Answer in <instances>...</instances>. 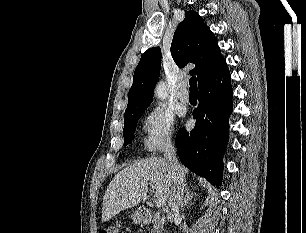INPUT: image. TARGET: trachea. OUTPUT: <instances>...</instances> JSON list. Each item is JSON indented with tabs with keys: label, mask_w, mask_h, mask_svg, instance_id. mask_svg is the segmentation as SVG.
<instances>
[{
	"label": "trachea",
	"mask_w": 306,
	"mask_h": 233,
	"mask_svg": "<svg viewBox=\"0 0 306 233\" xmlns=\"http://www.w3.org/2000/svg\"><path fill=\"white\" fill-rule=\"evenodd\" d=\"M189 84H190V92H197V79L195 76L191 77L189 80Z\"/></svg>",
	"instance_id": "obj_1"
}]
</instances>
